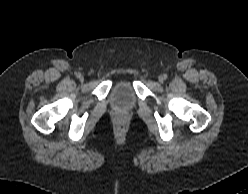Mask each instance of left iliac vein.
<instances>
[{
	"instance_id": "4c4485c4",
	"label": "left iliac vein",
	"mask_w": 248,
	"mask_h": 194,
	"mask_svg": "<svg viewBox=\"0 0 248 194\" xmlns=\"http://www.w3.org/2000/svg\"><path fill=\"white\" fill-rule=\"evenodd\" d=\"M163 80H164L163 76H160V77H159V81H160V82H163Z\"/></svg>"
}]
</instances>
